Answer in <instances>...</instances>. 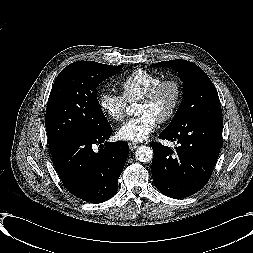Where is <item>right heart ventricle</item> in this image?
Here are the masks:
<instances>
[{"instance_id": "right-heart-ventricle-1", "label": "right heart ventricle", "mask_w": 253, "mask_h": 253, "mask_svg": "<svg viewBox=\"0 0 253 253\" xmlns=\"http://www.w3.org/2000/svg\"><path fill=\"white\" fill-rule=\"evenodd\" d=\"M163 75L143 69H136L120 83L122 95L127 102H135L145 95L148 90L163 79Z\"/></svg>"}]
</instances>
